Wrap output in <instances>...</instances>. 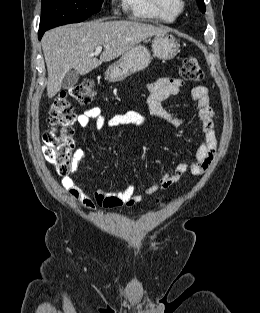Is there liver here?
Returning a JSON list of instances; mask_svg holds the SVG:
<instances>
[{"label":"liver","instance_id":"6515ba94","mask_svg":"<svg viewBox=\"0 0 260 313\" xmlns=\"http://www.w3.org/2000/svg\"><path fill=\"white\" fill-rule=\"evenodd\" d=\"M168 31L166 27L138 21L102 20L68 24L47 31L42 38V49L48 72V97L53 98L60 91L63 78L70 70L85 75L141 41ZM98 46L104 47L100 59L94 56Z\"/></svg>","mask_w":260,"mask_h":313}]
</instances>
